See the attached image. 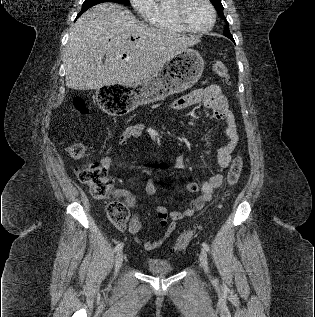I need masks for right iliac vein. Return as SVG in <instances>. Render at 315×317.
I'll return each mask as SVG.
<instances>
[{
    "label": "right iliac vein",
    "instance_id": "right-iliac-vein-1",
    "mask_svg": "<svg viewBox=\"0 0 315 317\" xmlns=\"http://www.w3.org/2000/svg\"><path fill=\"white\" fill-rule=\"evenodd\" d=\"M123 252L119 251L115 257V273L120 269L123 263Z\"/></svg>",
    "mask_w": 315,
    "mask_h": 317
}]
</instances>
